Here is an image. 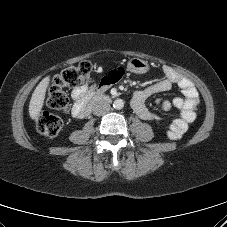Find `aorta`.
Here are the masks:
<instances>
[{
  "label": "aorta",
  "mask_w": 227,
  "mask_h": 227,
  "mask_svg": "<svg viewBox=\"0 0 227 227\" xmlns=\"http://www.w3.org/2000/svg\"><path fill=\"white\" fill-rule=\"evenodd\" d=\"M115 109H122L124 107V101L122 99H116L113 103Z\"/></svg>",
  "instance_id": "aorta-1"
}]
</instances>
